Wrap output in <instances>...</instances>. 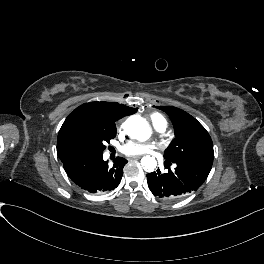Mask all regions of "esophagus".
<instances>
[{
  "instance_id": "34e87169",
  "label": "esophagus",
  "mask_w": 264,
  "mask_h": 264,
  "mask_svg": "<svg viewBox=\"0 0 264 264\" xmlns=\"http://www.w3.org/2000/svg\"><path fill=\"white\" fill-rule=\"evenodd\" d=\"M139 157L137 156H132L131 159H138Z\"/></svg>"
}]
</instances>
